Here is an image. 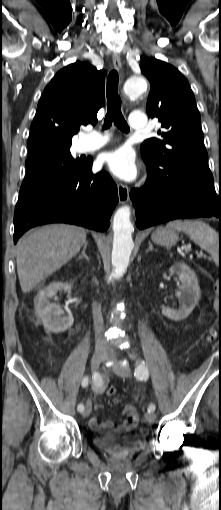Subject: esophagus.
I'll use <instances>...</instances> for the list:
<instances>
[{
    "instance_id": "1",
    "label": "esophagus",
    "mask_w": 221,
    "mask_h": 510,
    "mask_svg": "<svg viewBox=\"0 0 221 510\" xmlns=\"http://www.w3.org/2000/svg\"><path fill=\"white\" fill-rule=\"evenodd\" d=\"M113 66L114 68L119 71L122 67L121 59L117 54L113 55ZM118 197H119V203L125 204L129 200V188L127 185L119 183L118 186Z\"/></svg>"
}]
</instances>
